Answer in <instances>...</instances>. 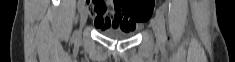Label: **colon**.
<instances>
[{"label":"colon","mask_w":235,"mask_h":62,"mask_svg":"<svg viewBox=\"0 0 235 62\" xmlns=\"http://www.w3.org/2000/svg\"><path fill=\"white\" fill-rule=\"evenodd\" d=\"M99 5V4H98ZM154 0L124 1L120 7L131 17L135 24L146 22L153 9Z\"/></svg>","instance_id":"1"}]
</instances>
